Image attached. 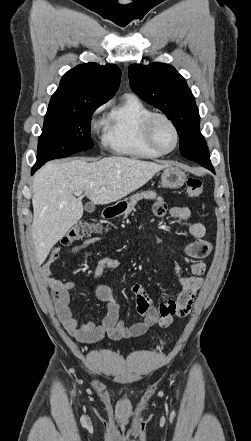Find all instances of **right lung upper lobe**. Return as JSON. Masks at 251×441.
I'll return each mask as SVG.
<instances>
[{"label":"right lung upper lobe","mask_w":251,"mask_h":441,"mask_svg":"<svg viewBox=\"0 0 251 441\" xmlns=\"http://www.w3.org/2000/svg\"><path fill=\"white\" fill-rule=\"evenodd\" d=\"M120 79L121 71L116 65H78L62 77L49 106H74L87 98L109 100L117 91Z\"/></svg>","instance_id":"obj_1"}]
</instances>
